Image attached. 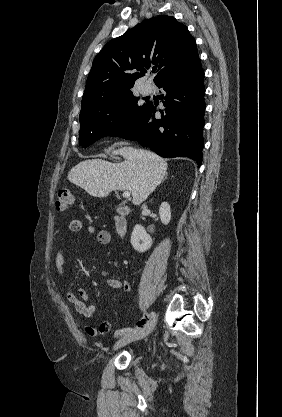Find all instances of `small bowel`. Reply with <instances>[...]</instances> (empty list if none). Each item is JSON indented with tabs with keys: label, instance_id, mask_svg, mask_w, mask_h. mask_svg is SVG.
Returning <instances> with one entry per match:
<instances>
[{
	"label": "small bowel",
	"instance_id": "c3829d8e",
	"mask_svg": "<svg viewBox=\"0 0 282 417\" xmlns=\"http://www.w3.org/2000/svg\"><path fill=\"white\" fill-rule=\"evenodd\" d=\"M69 229L73 233H80L84 229V224L79 219H73L69 223ZM87 231L89 234H93L95 232V227L90 225L87 228ZM97 241L100 245H104V246L108 245L111 241V236H110L109 231L106 229L99 230L97 232ZM64 252H65V249L63 247L59 249L55 255V260H54L57 273L61 277L65 276ZM102 278L104 282L106 283V285L113 289L122 290L124 292L130 291L129 282L126 280H120L114 277H110L106 274H103ZM67 296H68V299L75 305L80 315H82L85 319H90L93 317V315L96 312V305L93 303H88L90 300V294L87 289H84V288L80 289L79 297L75 296L74 294L70 292L67 294ZM136 326L141 328L144 326V322L139 321ZM110 329H111V323L109 321H104L97 328L86 325L84 327V332L86 333V335L90 337H94L97 335L106 336L108 332L110 331ZM125 332L130 333L131 329H126Z\"/></svg>",
	"mask_w": 282,
	"mask_h": 417
}]
</instances>
